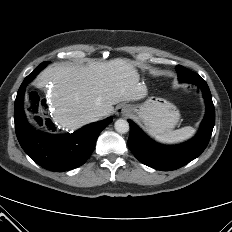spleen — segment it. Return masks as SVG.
Returning <instances> with one entry per match:
<instances>
[{"label":"spleen","instance_id":"spleen-1","mask_svg":"<svg viewBox=\"0 0 232 232\" xmlns=\"http://www.w3.org/2000/svg\"><path fill=\"white\" fill-rule=\"evenodd\" d=\"M194 133L195 129L191 126H187L164 134L155 135V139L161 143L175 144L190 139Z\"/></svg>","mask_w":232,"mask_h":232}]
</instances>
